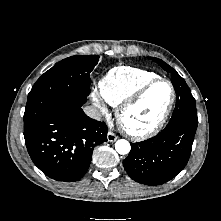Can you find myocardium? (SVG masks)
I'll return each mask as SVG.
<instances>
[{
    "instance_id": "obj_1",
    "label": "myocardium",
    "mask_w": 221,
    "mask_h": 221,
    "mask_svg": "<svg viewBox=\"0 0 221 221\" xmlns=\"http://www.w3.org/2000/svg\"><path fill=\"white\" fill-rule=\"evenodd\" d=\"M161 82L167 83L171 89L170 100H169L168 105H167L164 113L162 114V116L159 118V120L152 127L148 128V129L138 130V129H134V128L130 127L127 124L126 119H125L126 114L131 109H133L134 107H136L138 104H140L142 102L146 93L153 86H155L156 84L161 83ZM175 101H176V90H175L173 83L167 78L157 77V78L145 83L144 85H142L131 97H129L128 99H126L124 102H122L120 104V106L117 109V113H116L117 121H118L120 127L122 128V130L132 139H136V140L146 139V138L151 137L154 134H156L164 126V124L168 120V118L173 110Z\"/></svg>"
}]
</instances>
